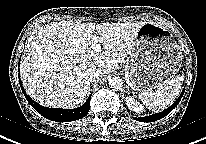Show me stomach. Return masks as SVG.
I'll use <instances>...</instances> for the list:
<instances>
[{"instance_id": "stomach-1", "label": "stomach", "mask_w": 206, "mask_h": 144, "mask_svg": "<svg viewBox=\"0 0 206 144\" xmlns=\"http://www.w3.org/2000/svg\"><path fill=\"white\" fill-rule=\"evenodd\" d=\"M181 52L166 28L146 22L138 30L127 68L135 92L152 91L179 71Z\"/></svg>"}]
</instances>
